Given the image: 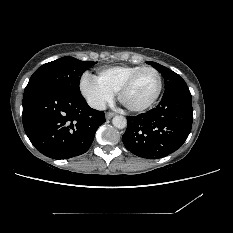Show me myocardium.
<instances>
[{
	"label": "myocardium",
	"mask_w": 233,
	"mask_h": 233,
	"mask_svg": "<svg viewBox=\"0 0 233 233\" xmlns=\"http://www.w3.org/2000/svg\"><path fill=\"white\" fill-rule=\"evenodd\" d=\"M146 71H153L156 73L157 75V80H158V85H157V90L155 95L152 97V99H150L148 102H146L145 104L141 105V106H137V107H133V106H128L124 103V95L125 93L133 86V84L136 82V80L138 79V77L140 75H142L144 72ZM162 86H163V81H162V76L161 73L154 67L151 66H147V67H143L142 69L136 71L135 73H133L119 88L118 92H117V98L118 101L120 102V104L128 111L130 112H142L145 111L147 109H149L150 107H152L156 101L158 100L161 91H162Z\"/></svg>",
	"instance_id": "f54148a6"
}]
</instances>
